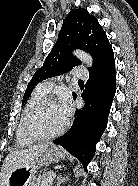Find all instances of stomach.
Segmentation results:
<instances>
[{"instance_id":"1","label":"stomach","mask_w":138,"mask_h":186,"mask_svg":"<svg viewBox=\"0 0 138 186\" xmlns=\"http://www.w3.org/2000/svg\"><path fill=\"white\" fill-rule=\"evenodd\" d=\"M65 158V153L57 146L48 148L32 165L14 169L8 176L7 186H31L35 172L42 165L57 163Z\"/></svg>"}]
</instances>
